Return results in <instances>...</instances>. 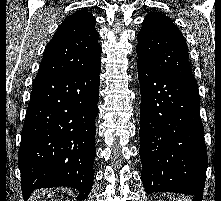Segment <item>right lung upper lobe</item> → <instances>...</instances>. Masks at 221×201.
I'll return each mask as SVG.
<instances>
[{"label":"right lung upper lobe","mask_w":221,"mask_h":201,"mask_svg":"<svg viewBox=\"0 0 221 201\" xmlns=\"http://www.w3.org/2000/svg\"><path fill=\"white\" fill-rule=\"evenodd\" d=\"M95 18L86 10L68 16L50 40L38 74L70 75L101 67Z\"/></svg>","instance_id":"obj_1"}]
</instances>
